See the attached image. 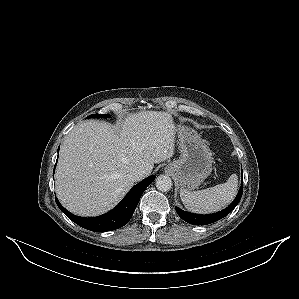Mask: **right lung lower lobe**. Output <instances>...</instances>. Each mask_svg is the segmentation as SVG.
Segmentation results:
<instances>
[{"label": "right lung lower lobe", "instance_id": "right-lung-lower-lobe-1", "mask_svg": "<svg viewBox=\"0 0 299 299\" xmlns=\"http://www.w3.org/2000/svg\"><path fill=\"white\" fill-rule=\"evenodd\" d=\"M154 179L155 176L152 175L135 185L114 209L98 217H79L67 211L59 203L57 198L56 203L59 209L79 226L94 232L111 231L118 229L128 223L135 211V208L140 200L142 193L147 188V186H149L152 183Z\"/></svg>", "mask_w": 299, "mask_h": 299}]
</instances>
